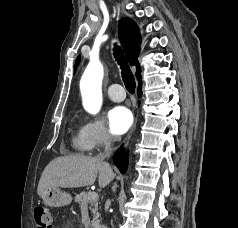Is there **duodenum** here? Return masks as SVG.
<instances>
[{
	"label": "duodenum",
	"mask_w": 238,
	"mask_h": 228,
	"mask_svg": "<svg viewBox=\"0 0 238 228\" xmlns=\"http://www.w3.org/2000/svg\"><path fill=\"white\" fill-rule=\"evenodd\" d=\"M99 228H106V227H104V226H100Z\"/></svg>",
	"instance_id": "duodenum-1"
}]
</instances>
